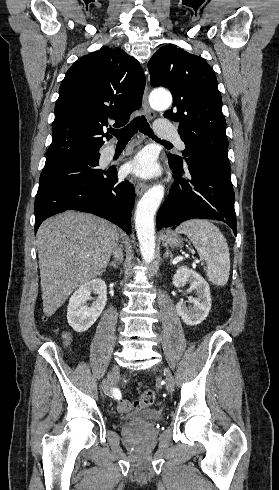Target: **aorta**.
Masks as SVG:
<instances>
[{
  "instance_id": "obj_1",
  "label": "aorta",
  "mask_w": 279,
  "mask_h": 490,
  "mask_svg": "<svg viewBox=\"0 0 279 490\" xmlns=\"http://www.w3.org/2000/svg\"><path fill=\"white\" fill-rule=\"evenodd\" d=\"M155 110H166L172 103L171 94L164 90L153 91L149 98ZM164 197V187L155 185L141 198L135 212V228L143 260L150 263L155 255L154 216Z\"/></svg>"
}]
</instances>
